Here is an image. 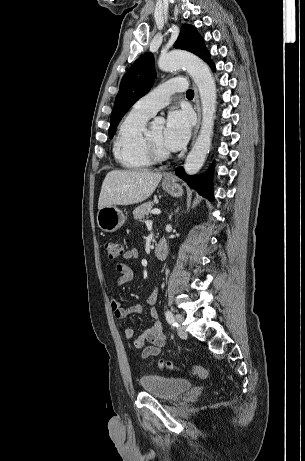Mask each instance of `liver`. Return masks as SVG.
Returning <instances> with one entry per match:
<instances>
[{
	"label": "liver",
	"mask_w": 305,
	"mask_h": 461,
	"mask_svg": "<svg viewBox=\"0 0 305 461\" xmlns=\"http://www.w3.org/2000/svg\"><path fill=\"white\" fill-rule=\"evenodd\" d=\"M161 178V173L150 171L112 170L103 181L98 209L142 202L155 191Z\"/></svg>",
	"instance_id": "liver-1"
}]
</instances>
